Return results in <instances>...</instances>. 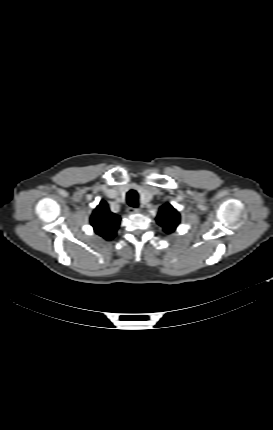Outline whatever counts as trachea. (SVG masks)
Returning a JSON list of instances; mask_svg holds the SVG:
<instances>
[{"label":"trachea","mask_w":273,"mask_h":430,"mask_svg":"<svg viewBox=\"0 0 273 430\" xmlns=\"http://www.w3.org/2000/svg\"><path fill=\"white\" fill-rule=\"evenodd\" d=\"M126 198L131 207L136 208L138 206V193L135 190H130L126 195Z\"/></svg>","instance_id":"trachea-1"}]
</instances>
